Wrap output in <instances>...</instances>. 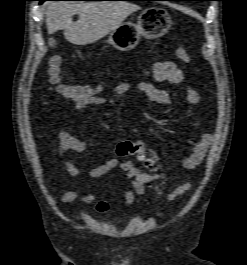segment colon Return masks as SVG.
Returning <instances> with one entry per match:
<instances>
[{"mask_svg": "<svg viewBox=\"0 0 247 265\" xmlns=\"http://www.w3.org/2000/svg\"><path fill=\"white\" fill-rule=\"evenodd\" d=\"M176 56L183 63L190 62V55L184 46L177 47ZM61 65V57L54 56L50 60L47 71L50 83L55 86L57 93L61 97L86 106L106 104L108 96L101 86L63 84L61 82ZM115 154L120 158L136 157L145 167L155 170L160 169L157 154L143 142L121 141L115 148ZM190 189L191 184L189 182L183 183L170 194V201H176Z\"/></svg>", "mask_w": 247, "mask_h": 265, "instance_id": "obj_1", "label": "colon"}]
</instances>
